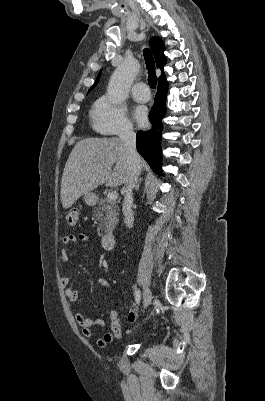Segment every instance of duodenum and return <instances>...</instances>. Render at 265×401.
I'll list each match as a JSON object with an SVG mask.
<instances>
[{
    "label": "duodenum",
    "mask_w": 265,
    "mask_h": 401,
    "mask_svg": "<svg viewBox=\"0 0 265 401\" xmlns=\"http://www.w3.org/2000/svg\"><path fill=\"white\" fill-rule=\"evenodd\" d=\"M116 239L111 233L105 234L102 238V246L106 250H112L115 246Z\"/></svg>",
    "instance_id": "1"
}]
</instances>
